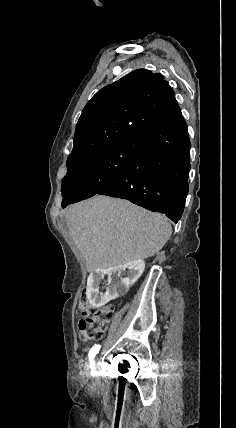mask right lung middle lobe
Here are the masks:
<instances>
[{"label": "right lung middle lobe", "mask_w": 236, "mask_h": 428, "mask_svg": "<svg viewBox=\"0 0 236 428\" xmlns=\"http://www.w3.org/2000/svg\"><path fill=\"white\" fill-rule=\"evenodd\" d=\"M137 148V139L126 140L68 166L61 186L62 207L96 195L126 168Z\"/></svg>", "instance_id": "dd1d6c3e"}]
</instances>
